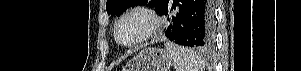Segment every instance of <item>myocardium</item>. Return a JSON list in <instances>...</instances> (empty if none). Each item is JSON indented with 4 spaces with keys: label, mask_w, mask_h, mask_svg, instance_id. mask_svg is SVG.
Wrapping results in <instances>:
<instances>
[{
    "label": "myocardium",
    "mask_w": 301,
    "mask_h": 71,
    "mask_svg": "<svg viewBox=\"0 0 301 71\" xmlns=\"http://www.w3.org/2000/svg\"><path fill=\"white\" fill-rule=\"evenodd\" d=\"M132 16H141L147 21V27L144 31V33L137 38L135 41L130 42V43H124L120 40L119 38V27L121 23ZM162 27V21L160 17L151 9H148L146 7H134L130 10L125 11L116 21L114 30H113V35L114 39L122 47L125 48H134L137 47L144 42L148 41L151 39L154 35H156Z\"/></svg>",
    "instance_id": "f54148a6"
}]
</instances>
